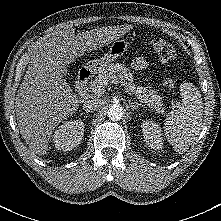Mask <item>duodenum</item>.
Wrapping results in <instances>:
<instances>
[{"instance_id":"obj_1","label":"duodenum","mask_w":221,"mask_h":221,"mask_svg":"<svg viewBox=\"0 0 221 221\" xmlns=\"http://www.w3.org/2000/svg\"><path fill=\"white\" fill-rule=\"evenodd\" d=\"M92 79V73L88 68H82L79 71L76 87L79 92L80 99L83 101L87 96L88 85Z\"/></svg>"}]
</instances>
